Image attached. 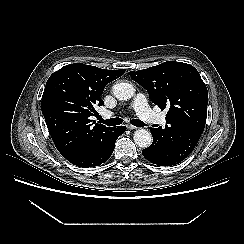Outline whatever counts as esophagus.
<instances>
[{
    "mask_svg": "<svg viewBox=\"0 0 244 244\" xmlns=\"http://www.w3.org/2000/svg\"><path fill=\"white\" fill-rule=\"evenodd\" d=\"M126 127H127L128 129H130V130L137 129L136 126L131 125V124H127Z\"/></svg>",
    "mask_w": 244,
    "mask_h": 244,
    "instance_id": "1",
    "label": "esophagus"
}]
</instances>
